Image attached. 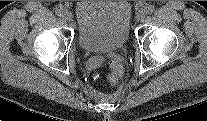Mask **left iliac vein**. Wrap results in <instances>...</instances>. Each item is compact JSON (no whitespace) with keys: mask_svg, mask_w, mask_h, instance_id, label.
I'll use <instances>...</instances> for the list:
<instances>
[{"mask_svg":"<svg viewBox=\"0 0 207 121\" xmlns=\"http://www.w3.org/2000/svg\"><path fill=\"white\" fill-rule=\"evenodd\" d=\"M136 18H137L138 21H143L144 18H145V13H144V11H139V12L137 13Z\"/></svg>","mask_w":207,"mask_h":121,"instance_id":"4c4485c4","label":"left iliac vein"}]
</instances>
